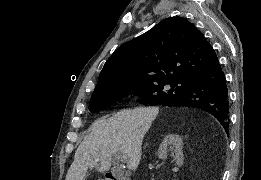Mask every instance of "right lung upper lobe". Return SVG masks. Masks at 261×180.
<instances>
[{"label": "right lung upper lobe", "instance_id": "right-lung-upper-lobe-1", "mask_svg": "<svg viewBox=\"0 0 261 180\" xmlns=\"http://www.w3.org/2000/svg\"><path fill=\"white\" fill-rule=\"evenodd\" d=\"M218 62L213 47L193 24L183 17L166 18L113 53L91 99L162 80L186 81Z\"/></svg>", "mask_w": 261, "mask_h": 180}]
</instances>
